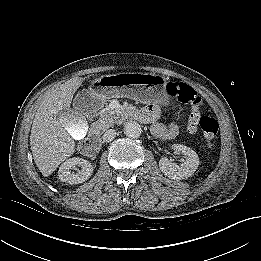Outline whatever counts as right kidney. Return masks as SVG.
Returning a JSON list of instances; mask_svg holds the SVG:
<instances>
[{"label":"right kidney","instance_id":"right-kidney-1","mask_svg":"<svg viewBox=\"0 0 261 261\" xmlns=\"http://www.w3.org/2000/svg\"><path fill=\"white\" fill-rule=\"evenodd\" d=\"M84 132L80 133V138L84 136ZM76 165L81 166V170L77 173L71 172V169ZM93 174L92 164L79 157H73L67 159L59 168L58 177L62 182L73 184L83 183L90 178Z\"/></svg>","mask_w":261,"mask_h":261}]
</instances>
